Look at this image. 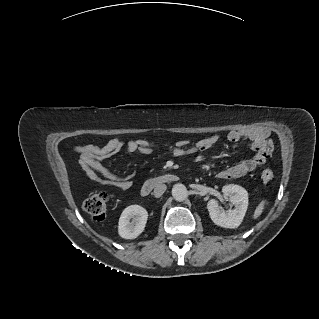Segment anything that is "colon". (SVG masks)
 <instances>
[{
    "label": "colon",
    "instance_id": "colon-1",
    "mask_svg": "<svg viewBox=\"0 0 319 319\" xmlns=\"http://www.w3.org/2000/svg\"><path fill=\"white\" fill-rule=\"evenodd\" d=\"M265 157H270L273 145L270 140H265L257 148ZM261 178L265 182L273 180L274 173L270 169H265L261 173ZM108 195L105 192H98L88 197L83 203L84 211L95 220H102L106 216Z\"/></svg>",
    "mask_w": 319,
    "mask_h": 319
}]
</instances>
